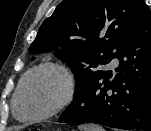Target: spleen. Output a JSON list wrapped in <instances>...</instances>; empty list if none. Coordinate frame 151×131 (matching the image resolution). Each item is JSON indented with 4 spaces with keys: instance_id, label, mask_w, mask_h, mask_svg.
<instances>
[{
    "instance_id": "obj_1",
    "label": "spleen",
    "mask_w": 151,
    "mask_h": 131,
    "mask_svg": "<svg viewBox=\"0 0 151 131\" xmlns=\"http://www.w3.org/2000/svg\"><path fill=\"white\" fill-rule=\"evenodd\" d=\"M79 128L81 131H105L101 126L94 124L81 125Z\"/></svg>"
}]
</instances>
